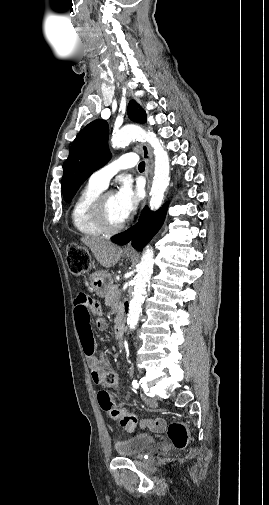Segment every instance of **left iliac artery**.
<instances>
[{"mask_svg":"<svg viewBox=\"0 0 269 505\" xmlns=\"http://www.w3.org/2000/svg\"><path fill=\"white\" fill-rule=\"evenodd\" d=\"M132 386H133V388H135V389H138V388H139V383L137 382V380H133V382H132Z\"/></svg>","mask_w":269,"mask_h":505,"instance_id":"44dca946","label":"left iliac artery"}]
</instances>
